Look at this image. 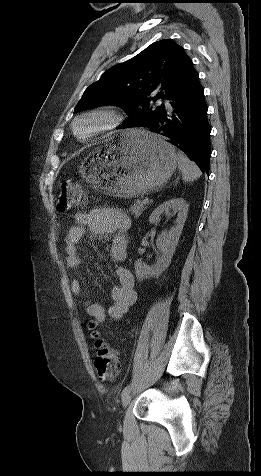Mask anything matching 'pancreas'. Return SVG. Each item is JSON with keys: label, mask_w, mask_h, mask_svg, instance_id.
Returning a JSON list of instances; mask_svg holds the SVG:
<instances>
[{"label": "pancreas", "mask_w": 261, "mask_h": 476, "mask_svg": "<svg viewBox=\"0 0 261 476\" xmlns=\"http://www.w3.org/2000/svg\"><path fill=\"white\" fill-rule=\"evenodd\" d=\"M145 209V204H143L141 200H137L132 203L129 211L135 216V218H138Z\"/></svg>", "instance_id": "obj_1"}]
</instances>
